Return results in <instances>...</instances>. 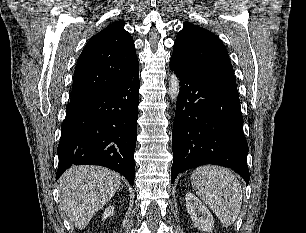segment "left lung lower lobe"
<instances>
[{
    "label": "left lung lower lobe",
    "instance_id": "obj_1",
    "mask_svg": "<svg viewBox=\"0 0 306 233\" xmlns=\"http://www.w3.org/2000/svg\"><path fill=\"white\" fill-rule=\"evenodd\" d=\"M170 69L181 85L172 131V182L187 169L216 164L233 169L248 184V144L236 82L194 71L174 57Z\"/></svg>",
    "mask_w": 306,
    "mask_h": 233
}]
</instances>
